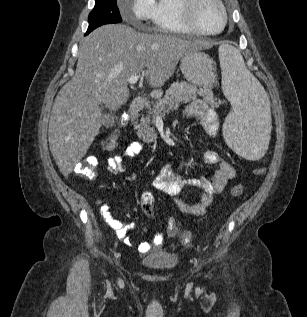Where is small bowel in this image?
<instances>
[{
	"label": "small bowel",
	"mask_w": 307,
	"mask_h": 317,
	"mask_svg": "<svg viewBox=\"0 0 307 317\" xmlns=\"http://www.w3.org/2000/svg\"><path fill=\"white\" fill-rule=\"evenodd\" d=\"M185 116L197 118L200 124L211 135L216 136L219 130V122L217 114L209 108L203 101L192 102L185 110ZM144 150V144L139 141H134L128 144L118 154L109 156L106 160V168L112 174H119L125 170L127 160L133 159ZM205 162L211 165H218L211 178H195L188 179L182 173L178 172L171 166H165L158 176L153 181L155 189L160 190L172 196L177 208L185 214L202 216L206 209L211 205L214 197L221 193L226 184L235 176V169L226 160L222 159L215 152L205 154ZM189 187H198L201 194L198 200L194 203L187 202L181 198V195ZM101 214L105 222L116 231L117 237L129 246L135 244L126 237L130 226L121 223L114 219L110 214L108 204L101 206ZM163 243L161 234H157L152 242H142L137 245L139 252L147 253L152 248H159Z\"/></svg>",
	"instance_id": "obj_1"
}]
</instances>
